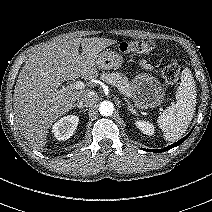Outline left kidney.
Returning <instances> with one entry per match:
<instances>
[{"instance_id": "obj_1", "label": "left kidney", "mask_w": 212, "mask_h": 212, "mask_svg": "<svg viewBox=\"0 0 212 212\" xmlns=\"http://www.w3.org/2000/svg\"><path fill=\"white\" fill-rule=\"evenodd\" d=\"M135 124L146 135H153L155 132V128L150 122L137 120Z\"/></svg>"}]
</instances>
